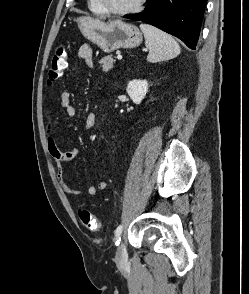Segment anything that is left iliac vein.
<instances>
[{
  "mask_svg": "<svg viewBox=\"0 0 249 294\" xmlns=\"http://www.w3.org/2000/svg\"><path fill=\"white\" fill-rule=\"evenodd\" d=\"M127 258H128V254L126 251V247H125L124 243L121 242L117 248L116 261L119 264H123L124 262H126Z\"/></svg>",
  "mask_w": 249,
  "mask_h": 294,
  "instance_id": "4c4485c4",
  "label": "left iliac vein"
}]
</instances>
